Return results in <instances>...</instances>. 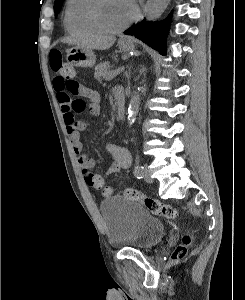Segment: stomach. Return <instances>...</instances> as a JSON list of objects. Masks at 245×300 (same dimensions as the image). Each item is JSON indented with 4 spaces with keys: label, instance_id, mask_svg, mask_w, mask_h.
Segmentation results:
<instances>
[{
    "label": "stomach",
    "instance_id": "obj_1",
    "mask_svg": "<svg viewBox=\"0 0 245 300\" xmlns=\"http://www.w3.org/2000/svg\"><path fill=\"white\" fill-rule=\"evenodd\" d=\"M119 47L125 52L133 51L135 44L131 38L119 40ZM66 59L76 67H92L96 62V56L92 49L72 47L66 51Z\"/></svg>",
    "mask_w": 245,
    "mask_h": 300
}]
</instances>
